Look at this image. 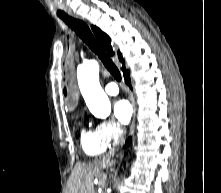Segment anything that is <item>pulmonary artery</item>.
<instances>
[{"label": "pulmonary artery", "instance_id": "1", "mask_svg": "<svg viewBox=\"0 0 221 193\" xmlns=\"http://www.w3.org/2000/svg\"><path fill=\"white\" fill-rule=\"evenodd\" d=\"M105 91L109 94V95H116L119 92V88L117 86L116 83L114 82H110L105 86Z\"/></svg>", "mask_w": 221, "mask_h": 193}]
</instances>
